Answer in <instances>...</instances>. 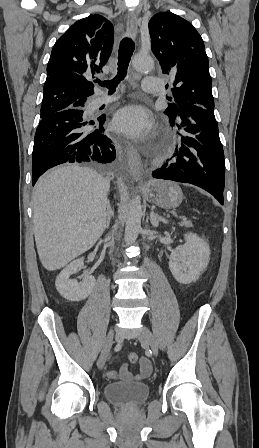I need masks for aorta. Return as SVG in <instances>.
I'll return each mask as SVG.
<instances>
[{
  "mask_svg": "<svg viewBox=\"0 0 259 448\" xmlns=\"http://www.w3.org/2000/svg\"><path fill=\"white\" fill-rule=\"evenodd\" d=\"M132 65L138 72H149L154 66L153 59L149 55L137 54ZM142 206L140 196H135L131 201L126 221L124 241L126 245H133L141 231Z\"/></svg>",
  "mask_w": 259,
  "mask_h": 448,
  "instance_id": "1",
  "label": "aorta"
}]
</instances>
